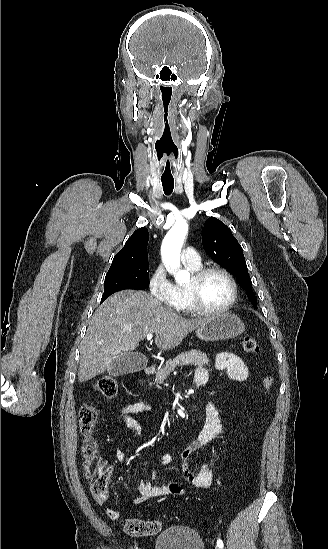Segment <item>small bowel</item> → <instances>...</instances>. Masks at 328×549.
Masks as SVG:
<instances>
[{
	"instance_id": "1",
	"label": "small bowel",
	"mask_w": 328,
	"mask_h": 549,
	"mask_svg": "<svg viewBox=\"0 0 328 549\" xmlns=\"http://www.w3.org/2000/svg\"><path fill=\"white\" fill-rule=\"evenodd\" d=\"M215 367L218 370L226 371L228 376L234 381L242 382L249 378V369L245 362L239 356L232 353L223 352L217 354L215 357ZM206 376L207 373L204 368L199 367L195 370V378H206ZM148 410H150V406L146 402L137 400L125 405L120 410V419L136 432L135 423L130 415ZM221 430L222 423L218 407L213 401H210L206 407V421L202 430L198 436L184 448L180 455L183 475L186 481L194 489L210 488L214 481V473L210 463L207 461H203L198 470L195 471L190 464V459L194 453L206 450L210 447ZM115 457L118 461H124L126 459V454L120 449H116ZM171 461L172 456L170 454H163L158 459V463L161 467L170 464ZM157 476L158 470H154L151 473V481L140 482L138 485V496L133 500L134 504H141L155 497L170 495L180 496L186 493V489L177 482L169 481L155 483ZM111 513L117 514L115 511H111Z\"/></svg>"
}]
</instances>
